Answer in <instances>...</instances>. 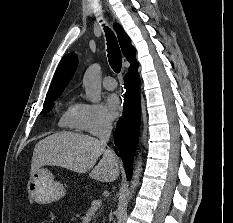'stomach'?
<instances>
[{
	"mask_svg": "<svg viewBox=\"0 0 233 223\" xmlns=\"http://www.w3.org/2000/svg\"><path fill=\"white\" fill-rule=\"evenodd\" d=\"M27 189L31 199L36 203H53L66 195V187L56 181L52 171L47 167H39L27 181Z\"/></svg>",
	"mask_w": 233,
	"mask_h": 223,
	"instance_id": "1",
	"label": "stomach"
}]
</instances>
